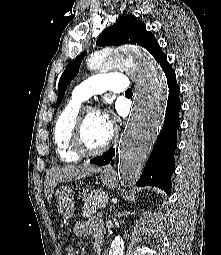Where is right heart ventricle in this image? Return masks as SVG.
<instances>
[{"label":"right heart ventricle","instance_id":"obj_1","mask_svg":"<svg viewBox=\"0 0 221 255\" xmlns=\"http://www.w3.org/2000/svg\"><path fill=\"white\" fill-rule=\"evenodd\" d=\"M79 103L71 100L58 114L53 126V142L57 155L65 164L76 163L81 156L73 148V132L80 116Z\"/></svg>","mask_w":221,"mask_h":255}]
</instances>
